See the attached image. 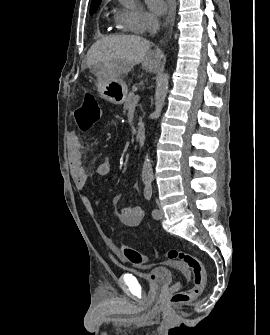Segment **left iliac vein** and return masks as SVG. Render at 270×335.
Listing matches in <instances>:
<instances>
[{
    "label": "left iliac vein",
    "instance_id": "left-iliac-vein-1",
    "mask_svg": "<svg viewBox=\"0 0 270 335\" xmlns=\"http://www.w3.org/2000/svg\"><path fill=\"white\" fill-rule=\"evenodd\" d=\"M157 204H158V215L155 217L156 219H161L164 215V212L159 204V202L157 201Z\"/></svg>",
    "mask_w": 270,
    "mask_h": 335
}]
</instances>
